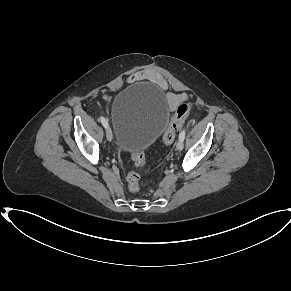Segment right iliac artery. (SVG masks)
<instances>
[{"label":"right iliac artery","mask_w":291,"mask_h":291,"mask_svg":"<svg viewBox=\"0 0 291 291\" xmlns=\"http://www.w3.org/2000/svg\"><path fill=\"white\" fill-rule=\"evenodd\" d=\"M100 121L105 128L108 126V122L104 117H100Z\"/></svg>","instance_id":"right-iliac-artery-1"}]
</instances>
